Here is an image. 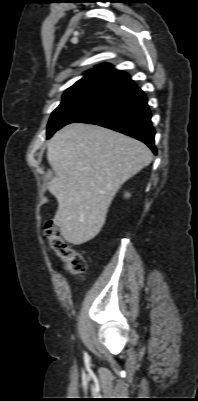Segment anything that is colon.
<instances>
[{
  "label": "colon",
  "instance_id": "colon-1",
  "mask_svg": "<svg viewBox=\"0 0 198 401\" xmlns=\"http://www.w3.org/2000/svg\"><path fill=\"white\" fill-rule=\"evenodd\" d=\"M44 237L54 254L65 261L70 273L80 274L85 271L86 262L84 258L62 238L55 221L48 220L45 223Z\"/></svg>",
  "mask_w": 198,
  "mask_h": 401
}]
</instances>
